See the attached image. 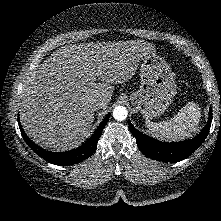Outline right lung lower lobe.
<instances>
[{
  "instance_id": "obj_1",
  "label": "right lung lower lobe",
  "mask_w": 221,
  "mask_h": 221,
  "mask_svg": "<svg viewBox=\"0 0 221 221\" xmlns=\"http://www.w3.org/2000/svg\"><path fill=\"white\" fill-rule=\"evenodd\" d=\"M110 114H107L103 122L99 125L97 130L94 132V134L90 137V139L85 142L82 146H80L77 149H74L72 151L68 152H51L42 149L38 145L34 144L24 133L20 123V131L21 134L28 144V146L40 157L45 159L46 161L59 165V166H68V165H73L75 163L81 162L87 158H89L94 151L97 148V142L101 136L102 130L104 129L108 119H109Z\"/></svg>"
}]
</instances>
